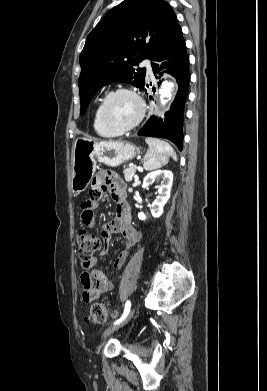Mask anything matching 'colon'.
Wrapping results in <instances>:
<instances>
[{"label":"colon","instance_id":"colon-1","mask_svg":"<svg viewBox=\"0 0 267 391\" xmlns=\"http://www.w3.org/2000/svg\"><path fill=\"white\" fill-rule=\"evenodd\" d=\"M101 238L99 235L87 230H80L77 235L78 256L83 265H88L94 254L101 248ZM109 315L108 307L103 303H94L86 316L90 323H104ZM116 316V312H113Z\"/></svg>","mask_w":267,"mask_h":391}]
</instances>
